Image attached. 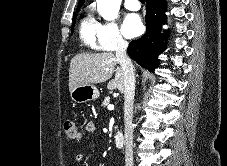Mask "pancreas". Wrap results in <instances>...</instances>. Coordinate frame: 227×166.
Listing matches in <instances>:
<instances>
[{
	"label": "pancreas",
	"mask_w": 227,
	"mask_h": 166,
	"mask_svg": "<svg viewBox=\"0 0 227 166\" xmlns=\"http://www.w3.org/2000/svg\"><path fill=\"white\" fill-rule=\"evenodd\" d=\"M110 104V98L109 97H106L105 99H104V101L102 102V106L103 107H106V106H108Z\"/></svg>",
	"instance_id": "cf45deb5"
}]
</instances>
